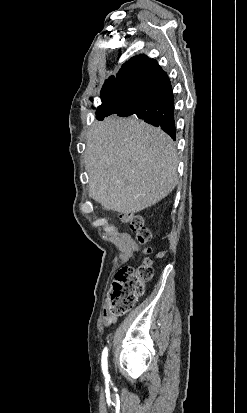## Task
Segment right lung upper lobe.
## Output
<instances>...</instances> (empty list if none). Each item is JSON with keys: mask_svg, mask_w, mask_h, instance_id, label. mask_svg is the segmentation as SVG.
Wrapping results in <instances>:
<instances>
[{"mask_svg": "<svg viewBox=\"0 0 247 413\" xmlns=\"http://www.w3.org/2000/svg\"><path fill=\"white\" fill-rule=\"evenodd\" d=\"M160 66L156 60L149 59L145 55H138L131 58L122 65L117 77L111 76L106 83H121L128 82L129 78L141 71H158Z\"/></svg>", "mask_w": 247, "mask_h": 413, "instance_id": "1", "label": "right lung upper lobe"}]
</instances>
